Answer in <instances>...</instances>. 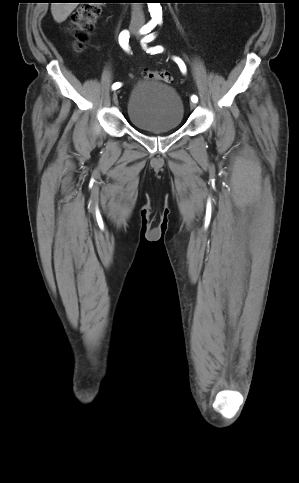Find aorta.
Instances as JSON below:
<instances>
[{
  "label": "aorta",
  "mask_w": 299,
  "mask_h": 483,
  "mask_svg": "<svg viewBox=\"0 0 299 483\" xmlns=\"http://www.w3.org/2000/svg\"><path fill=\"white\" fill-rule=\"evenodd\" d=\"M148 9L153 21L162 19V7L160 3H148Z\"/></svg>",
  "instance_id": "aorta-1"
}]
</instances>
